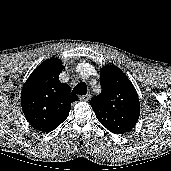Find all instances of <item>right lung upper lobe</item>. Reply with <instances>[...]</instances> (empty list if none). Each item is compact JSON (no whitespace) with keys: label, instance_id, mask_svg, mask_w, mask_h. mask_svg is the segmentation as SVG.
Masks as SVG:
<instances>
[{"label":"right lung upper lobe","instance_id":"obj_1","mask_svg":"<svg viewBox=\"0 0 171 171\" xmlns=\"http://www.w3.org/2000/svg\"><path fill=\"white\" fill-rule=\"evenodd\" d=\"M60 59L44 61L30 75L21 92V106L29 124L41 132L56 129L69 115L78 97L70 86L59 81Z\"/></svg>","mask_w":171,"mask_h":171}]
</instances>
